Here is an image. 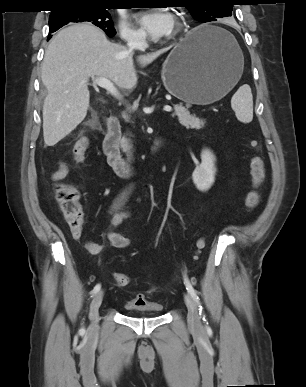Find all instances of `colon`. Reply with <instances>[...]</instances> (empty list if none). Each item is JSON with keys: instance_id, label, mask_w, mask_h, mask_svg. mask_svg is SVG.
Returning <instances> with one entry per match:
<instances>
[{"instance_id": "colon-1", "label": "colon", "mask_w": 306, "mask_h": 387, "mask_svg": "<svg viewBox=\"0 0 306 387\" xmlns=\"http://www.w3.org/2000/svg\"><path fill=\"white\" fill-rule=\"evenodd\" d=\"M251 146L255 149L256 154L251 159L250 173L252 178V190L246 197V207L249 211L253 210L259 202L258 189L265 178L264 161L259 154V142L252 140ZM89 148V140L85 137L79 139L73 148V157L77 163H81ZM55 196L59 208L68 224L71 233L74 236H79L84 226V212L79 201L80 195L78 190L71 184L59 183L55 189ZM206 246L204 239H199L196 243L197 251H202ZM114 282L120 287H127L132 283L130 276L122 273L113 274Z\"/></svg>"}]
</instances>
